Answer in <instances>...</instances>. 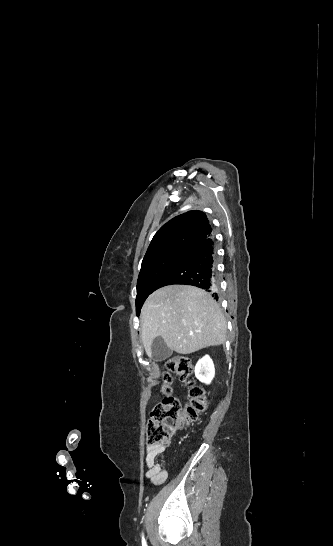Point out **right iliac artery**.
I'll use <instances>...</instances> for the list:
<instances>
[{
    "label": "right iliac artery",
    "instance_id": "82829eb1",
    "mask_svg": "<svg viewBox=\"0 0 333 546\" xmlns=\"http://www.w3.org/2000/svg\"><path fill=\"white\" fill-rule=\"evenodd\" d=\"M142 546H146V541H145L144 536H142Z\"/></svg>",
    "mask_w": 333,
    "mask_h": 546
}]
</instances>
